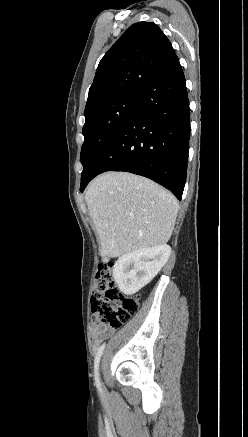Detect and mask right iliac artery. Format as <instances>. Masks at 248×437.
<instances>
[{
  "mask_svg": "<svg viewBox=\"0 0 248 437\" xmlns=\"http://www.w3.org/2000/svg\"><path fill=\"white\" fill-rule=\"evenodd\" d=\"M104 348H105V344H102L96 353L95 361H94L95 382H96V385H97V388L99 391H101V385H100V381H99V377H98V366H99V361H100V358H101L102 353L104 351Z\"/></svg>",
  "mask_w": 248,
  "mask_h": 437,
  "instance_id": "82829eb1",
  "label": "right iliac artery"
}]
</instances>
